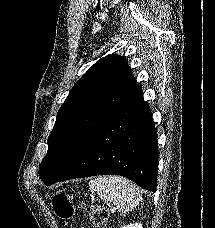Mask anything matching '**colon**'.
<instances>
[{"instance_id":"5ec220e1","label":"colon","mask_w":215,"mask_h":228,"mask_svg":"<svg viewBox=\"0 0 215 228\" xmlns=\"http://www.w3.org/2000/svg\"><path fill=\"white\" fill-rule=\"evenodd\" d=\"M52 205L55 213L60 219L67 220L73 218L74 210L66 194L58 193L57 195L53 196ZM89 212L92 224L95 228H103L110 225V213L104 206H91Z\"/></svg>"}]
</instances>
